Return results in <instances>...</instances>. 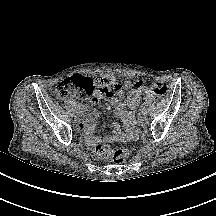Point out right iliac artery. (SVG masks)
Returning a JSON list of instances; mask_svg holds the SVG:
<instances>
[{
  "label": "right iliac artery",
  "instance_id": "obj_1",
  "mask_svg": "<svg viewBox=\"0 0 216 216\" xmlns=\"http://www.w3.org/2000/svg\"><path fill=\"white\" fill-rule=\"evenodd\" d=\"M77 107H78V109H77V111L80 113L82 110L80 109V104L78 103L77 105H76Z\"/></svg>",
  "mask_w": 216,
  "mask_h": 216
}]
</instances>
